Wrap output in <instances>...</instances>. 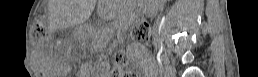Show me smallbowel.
<instances>
[{"label":"small bowel","mask_w":258,"mask_h":77,"mask_svg":"<svg viewBox=\"0 0 258 77\" xmlns=\"http://www.w3.org/2000/svg\"><path fill=\"white\" fill-rule=\"evenodd\" d=\"M137 51L136 58L140 61H142V69L145 71H148L151 66V61L149 59H144L143 54L141 53V49L139 47L135 48Z\"/></svg>","instance_id":"1"}]
</instances>
